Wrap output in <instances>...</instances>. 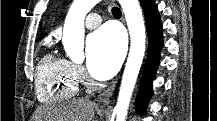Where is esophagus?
Wrapping results in <instances>:
<instances>
[{"instance_id": "34e87169", "label": "esophagus", "mask_w": 217, "mask_h": 121, "mask_svg": "<svg viewBox=\"0 0 217 121\" xmlns=\"http://www.w3.org/2000/svg\"><path fill=\"white\" fill-rule=\"evenodd\" d=\"M117 80H115L97 99V103L101 106H107L110 103L111 96L115 90Z\"/></svg>"}]
</instances>
